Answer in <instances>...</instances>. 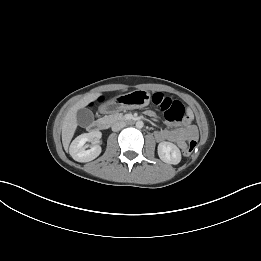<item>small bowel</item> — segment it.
Wrapping results in <instances>:
<instances>
[{
    "mask_svg": "<svg viewBox=\"0 0 261 261\" xmlns=\"http://www.w3.org/2000/svg\"><path fill=\"white\" fill-rule=\"evenodd\" d=\"M147 115L155 116V112L152 110L146 111ZM155 137L158 141H171L176 143L181 149H184L190 140H194L197 137L195 128L189 127H174L172 129L160 130L155 133Z\"/></svg>",
    "mask_w": 261,
    "mask_h": 261,
    "instance_id": "1",
    "label": "small bowel"
}]
</instances>
